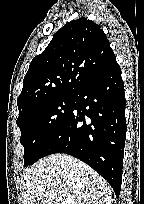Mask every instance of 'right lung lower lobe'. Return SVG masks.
Segmentation results:
<instances>
[{"label": "right lung lower lobe", "instance_id": "1", "mask_svg": "<svg viewBox=\"0 0 144 204\" xmlns=\"http://www.w3.org/2000/svg\"><path fill=\"white\" fill-rule=\"evenodd\" d=\"M125 138L124 83L115 62L75 95L71 114L43 157L66 153L84 161L109 182L118 198Z\"/></svg>", "mask_w": 144, "mask_h": 204}]
</instances>
